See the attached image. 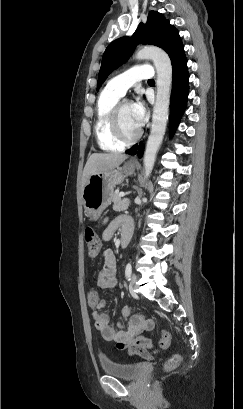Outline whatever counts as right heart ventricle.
<instances>
[{
	"instance_id": "1",
	"label": "right heart ventricle",
	"mask_w": 243,
	"mask_h": 409,
	"mask_svg": "<svg viewBox=\"0 0 243 409\" xmlns=\"http://www.w3.org/2000/svg\"><path fill=\"white\" fill-rule=\"evenodd\" d=\"M120 98V95L106 87L98 99L94 133L99 148L106 152L121 151L124 146L115 139L110 129L111 112Z\"/></svg>"
}]
</instances>
